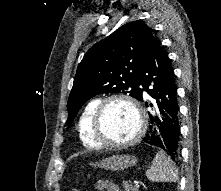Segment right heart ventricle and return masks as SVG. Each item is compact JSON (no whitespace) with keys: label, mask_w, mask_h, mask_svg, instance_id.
Instances as JSON below:
<instances>
[{"label":"right heart ventricle","mask_w":221,"mask_h":191,"mask_svg":"<svg viewBox=\"0 0 221 191\" xmlns=\"http://www.w3.org/2000/svg\"><path fill=\"white\" fill-rule=\"evenodd\" d=\"M99 99L90 100L82 110L78 124V134L81 143L87 148H99L95 139L92 136V120L97 106L99 105Z\"/></svg>","instance_id":"right-heart-ventricle-1"}]
</instances>
